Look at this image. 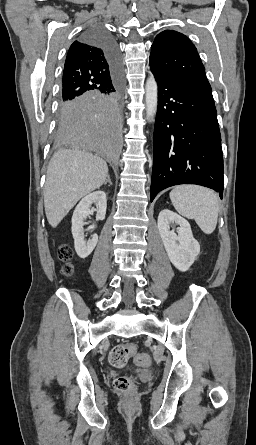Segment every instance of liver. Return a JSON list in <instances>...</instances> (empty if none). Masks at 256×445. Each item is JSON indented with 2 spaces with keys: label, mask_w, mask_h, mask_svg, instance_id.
Returning <instances> with one entry per match:
<instances>
[{
  "label": "liver",
  "mask_w": 256,
  "mask_h": 445,
  "mask_svg": "<svg viewBox=\"0 0 256 445\" xmlns=\"http://www.w3.org/2000/svg\"><path fill=\"white\" fill-rule=\"evenodd\" d=\"M108 166L100 157L59 149L51 158L44 187V207L49 224L55 228L75 204L100 188Z\"/></svg>",
  "instance_id": "obj_1"
}]
</instances>
